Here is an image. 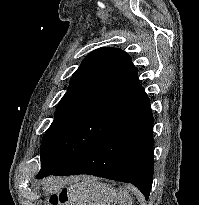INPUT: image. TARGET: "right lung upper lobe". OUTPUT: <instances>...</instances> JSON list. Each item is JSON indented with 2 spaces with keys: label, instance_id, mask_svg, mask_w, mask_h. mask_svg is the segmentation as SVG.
<instances>
[{
  "label": "right lung upper lobe",
  "instance_id": "cb5924a9",
  "mask_svg": "<svg viewBox=\"0 0 199 205\" xmlns=\"http://www.w3.org/2000/svg\"><path fill=\"white\" fill-rule=\"evenodd\" d=\"M131 57L117 48H99L89 53L73 74L56 112L93 109L125 119L144 106L130 86L139 84Z\"/></svg>",
  "mask_w": 199,
  "mask_h": 205
}]
</instances>
